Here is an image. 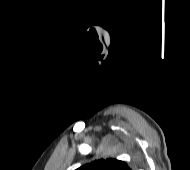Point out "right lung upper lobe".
I'll use <instances>...</instances> for the list:
<instances>
[{
  "mask_svg": "<svg viewBox=\"0 0 190 170\" xmlns=\"http://www.w3.org/2000/svg\"><path fill=\"white\" fill-rule=\"evenodd\" d=\"M76 170H131L123 161L108 158L95 160L89 164H85Z\"/></svg>",
  "mask_w": 190,
  "mask_h": 170,
  "instance_id": "1",
  "label": "right lung upper lobe"
}]
</instances>
